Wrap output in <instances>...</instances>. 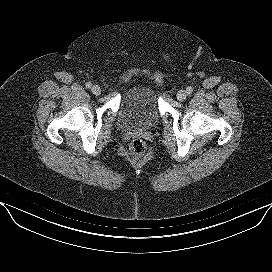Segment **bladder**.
<instances>
[{"label": "bladder", "mask_w": 272, "mask_h": 272, "mask_svg": "<svg viewBox=\"0 0 272 272\" xmlns=\"http://www.w3.org/2000/svg\"><path fill=\"white\" fill-rule=\"evenodd\" d=\"M160 117L158 95L154 86L136 83L126 92L121 103L119 118L128 128H150Z\"/></svg>", "instance_id": "obj_1"}]
</instances>
